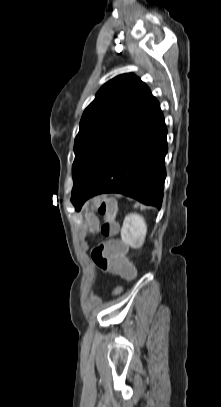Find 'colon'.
Listing matches in <instances>:
<instances>
[{
  "mask_svg": "<svg viewBox=\"0 0 221 407\" xmlns=\"http://www.w3.org/2000/svg\"><path fill=\"white\" fill-rule=\"evenodd\" d=\"M91 207L95 208L103 217L104 222L100 227V231L105 237H113L118 233L119 225L116 221L117 205L110 198L98 196L94 198ZM88 225L91 231L97 229L96 219L86 210ZM127 246L120 239H104L103 244L97 246L92 251V259L95 264L102 270L117 274L119 279H125L127 284H133L136 281L134 277L138 271L136 265H133L129 256L125 255ZM126 289L124 282H119L109 291L111 298H119L121 292Z\"/></svg>",
  "mask_w": 221,
  "mask_h": 407,
  "instance_id": "colon-1",
  "label": "colon"
}]
</instances>
